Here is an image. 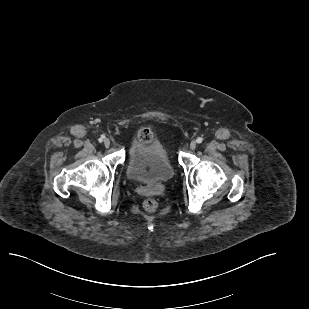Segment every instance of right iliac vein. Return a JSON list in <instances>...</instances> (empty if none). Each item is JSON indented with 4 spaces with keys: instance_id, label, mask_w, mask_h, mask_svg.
<instances>
[{
    "instance_id": "63e3f726",
    "label": "right iliac vein",
    "mask_w": 309,
    "mask_h": 309,
    "mask_svg": "<svg viewBox=\"0 0 309 309\" xmlns=\"http://www.w3.org/2000/svg\"><path fill=\"white\" fill-rule=\"evenodd\" d=\"M103 143H104V146H105V147H109V146H110V140H109L108 138H105V139L103 140Z\"/></svg>"
}]
</instances>
